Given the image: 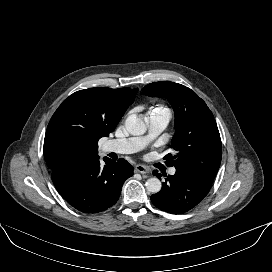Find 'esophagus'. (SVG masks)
Masks as SVG:
<instances>
[{
    "instance_id": "34e87169",
    "label": "esophagus",
    "mask_w": 272,
    "mask_h": 272,
    "mask_svg": "<svg viewBox=\"0 0 272 272\" xmlns=\"http://www.w3.org/2000/svg\"><path fill=\"white\" fill-rule=\"evenodd\" d=\"M135 171L141 174H148L150 172V169L147 166L144 165H136Z\"/></svg>"
}]
</instances>
